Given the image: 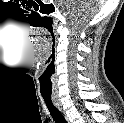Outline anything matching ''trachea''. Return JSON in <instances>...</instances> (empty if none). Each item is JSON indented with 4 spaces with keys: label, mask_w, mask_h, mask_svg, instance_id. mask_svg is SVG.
Listing matches in <instances>:
<instances>
[{
    "label": "trachea",
    "mask_w": 124,
    "mask_h": 123,
    "mask_svg": "<svg viewBox=\"0 0 124 123\" xmlns=\"http://www.w3.org/2000/svg\"><path fill=\"white\" fill-rule=\"evenodd\" d=\"M43 99H44V102L53 118V120L56 122V123H67V121L65 120L64 116L62 115V113L59 111V109L54 105L51 97L48 98V97H44L43 96Z\"/></svg>",
    "instance_id": "1"
}]
</instances>
